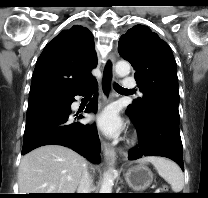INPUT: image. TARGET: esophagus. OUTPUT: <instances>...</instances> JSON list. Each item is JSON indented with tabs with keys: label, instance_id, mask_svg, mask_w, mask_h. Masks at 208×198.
<instances>
[{
	"label": "esophagus",
	"instance_id": "obj_1",
	"mask_svg": "<svg viewBox=\"0 0 208 198\" xmlns=\"http://www.w3.org/2000/svg\"><path fill=\"white\" fill-rule=\"evenodd\" d=\"M114 65L115 57L114 55H110L102 67L100 90L105 100H109L113 92L112 84L115 80ZM102 147L105 160L107 162H114L116 159V152L114 148L105 141L102 142Z\"/></svg>",
	"mask_w": 208,
	"mask_h": 198
}]
</instances>
